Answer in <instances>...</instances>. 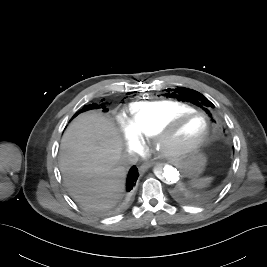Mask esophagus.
I'll list each match as a JSON object with an SVG mask.
<instances>
[{
	"instance_id": "obj_1",
	"label": "esophagus",
	"mask_w": 267,
	"mask_h": 267,
	"mask_svg": "<svg viewBox=\"0 0 267 267\" xmlns=\"http://www.w3.org/2000/svg\"><path fill=\"white\" fill-rule=\"evenodd\" d=\"M153 165V163H145V164H142L139 168L140 172H145L148 168H150L151 166Z\"/></svg>"
}]
</instances>
